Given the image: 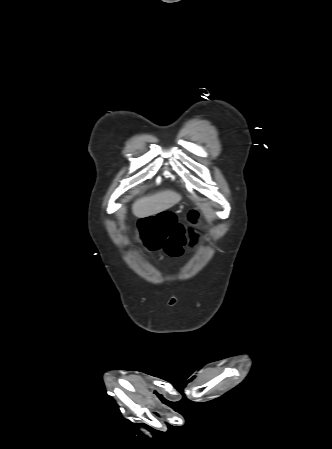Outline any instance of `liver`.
<instances>
[{"label":"liver","mask_w":332,"mask_h":449,"mask_svg":"<svg viewBox=\"0 0 332 449\" xmlns=\"http://www.w3.org/2000/svg\"><path fill=\"white\" fill-rule=\"evenodd\" d=\"M181 198L174 191H160L138 199L132 206V212L138 218H146L173 207Z\"/></svg>","instance_id":"1"}]
</instances>
